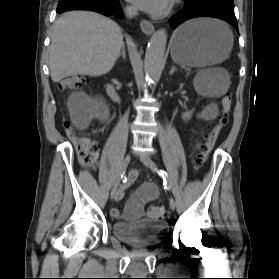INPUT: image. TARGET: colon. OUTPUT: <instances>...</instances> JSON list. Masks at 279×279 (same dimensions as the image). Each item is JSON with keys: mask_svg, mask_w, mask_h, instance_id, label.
Returning <instances> with one entry per match:
<instances>
[{"mask_svg": "<svg viewBox=\"0 0 279 279\" xmlns=\"http://www.w3.org/2000/svg\"><path fill=\"white\" fill-rule=\"evenodd\" d=\"M88 83V79L84 76L73 75L62 79L59 88L62 91H71ZM232 105V93H227L221 102V114L205 132L198 144V154L195 159L197 168H201L207 161L221 129L228 123V114ZM67 132L76 139V152L79 162L84 166L93 165L98 157L97 145L88 138L75 137L73 127L67 123ZM147 215L153 219H162L166 215V210L157 205H151L147 208Z\"/></svg>", "mask_w": 279, "mask_h": 279, "instance_id": "obj_1", "label": "colon"}]
</instances>
